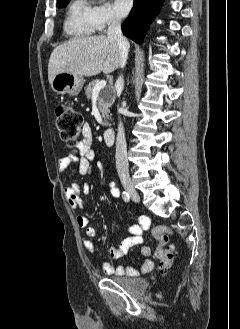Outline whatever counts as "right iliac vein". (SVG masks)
Instances as JSON below:
<instances>
[{"label":"right iliac vein","mask_w":240,"mask_h":329,"mask_svg":"<svg viewBox=\"0 0 240 329\" xmlns=\"http://www.w3.org/2000/svg\"><path fill=\"white\" fill-rule=\"evenodd\" d=\"M121 182L126 190V192L130 195V197L135 201L139 202L140 197L136 189L134 188V185L129 177L121 176Z\"/></svg>","instance_id":"right-iliac-vein-1"}]
</instances>
